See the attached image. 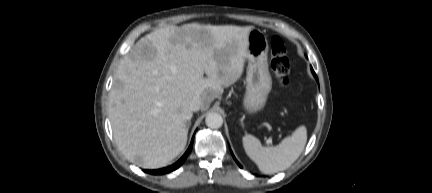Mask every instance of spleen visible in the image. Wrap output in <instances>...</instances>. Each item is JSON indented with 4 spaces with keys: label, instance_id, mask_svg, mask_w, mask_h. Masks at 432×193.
Returning a JSON list of instances; mask_svg holds the SVG:
<instances>
[{
    "label": "spleen",
    "instance_id": "3e777b00",
    "mask_svg": "<svg viewBox=\"0 0 432 193\" xmlns=\"http://www.w3.org/2000/svg\"><path fill=\"white\" fill-rule=\"evenodd\" d=\"M246 154L264 174H274L290 167L303 152L307 142L304 126L297 128L291 136L274 147H263L256 137L245 135L242 138Z\"/></svg>",
    "mask_w": 432,
    "mask_h": 193
}]
</instances>
